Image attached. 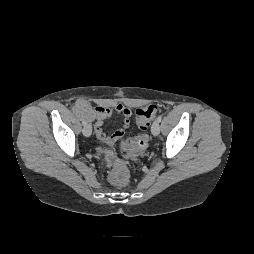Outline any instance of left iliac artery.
<instances>
[{"label":"left iliac artery","instance_id":"1","mask_svg":"<svg viewBox=\"0 0 254 254\" xmlns=\"http://www.w3.org/2000/svg\"><path fill=\"white\" fill-rule=\"evenodd\" d=\"M161 120H162V116L159 115V116L157 117V121H158V122H161Z\"/></svg>","mask_w":254,"mask_h":254}]
</instances>
